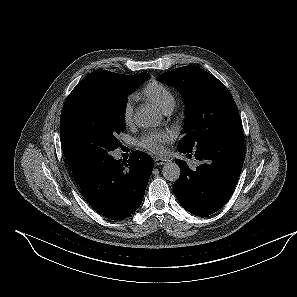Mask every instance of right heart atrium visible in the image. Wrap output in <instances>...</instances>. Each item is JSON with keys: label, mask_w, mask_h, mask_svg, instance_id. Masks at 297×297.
Returning a JSON list of instances; mask_svg holds the SVG:
<instances>
[{"label": "right heart atrium", "mask_w": 297, "mask_h": 297, "mask_svg": "<svg viewBox=\"0 0 297 297\" xmlns=\"http://www.w3.org/2000/svg\"><path fill=\"white\" fill-rule=\"evenodd\" d=\"M134 102H135V98L133 96H129L125 100L122 107L123 123L127 126H129L133 121Z\"/></svg>", "instance_id": "obj_1"}]
</instances>
